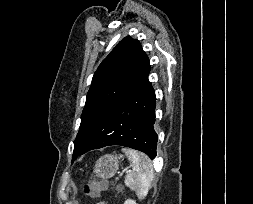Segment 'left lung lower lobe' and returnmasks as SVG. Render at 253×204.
I'll list each match as a JSON object with an SVG mask.
<instances>
[{
    "label": "left lung lower lobe",
    "mask_w": 253,
    "mask_h": 204,
    "mask_svg": "<svg viewBox=\"0 0 253 204\" xmlns=\"http://www.w3.org/2000/svg\"><path fill=\"white\" fill-rule=\"evenodd\" d=\"M155 104V92L147 75L125 100L93 124L86 135V145L72 157V162L90 150L110 145L130 147L154 159L157 147Z\"/></svg>",
    "instance_id": "obj_1"
}]
</instances>
